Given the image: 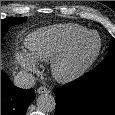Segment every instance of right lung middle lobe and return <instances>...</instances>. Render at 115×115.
Listing matches in <instances>:
<instances>
[{"label": "right lung middle lobe", "mask_w": 115, "mask_h": 115, "mask_svg": "<svg viewBox=\"0 0 115 115\" xmlns=\"http://www.w3.org/2000/svg\"><path fill=\"white\" fill-rule=\"evenodd\" d=\"M26 17H8L5 19H1V37L8 30V28L12 25L20 24L24 22Z\"/></svg>", "instance_id": "obj_1"}]
</instances>
